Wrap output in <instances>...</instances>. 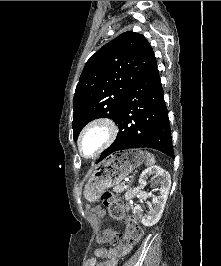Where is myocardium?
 Segmentation results:
<instances>
[{
    "label": "myocardium",
    "instance_id": "f54148a6",
    "mask_svg": "<svg viewBox=\"0 0 221 266\" xmlns=\"http://www.w3.org/2000/svg\"><path fill=\"white\" fill-rule=\"evenodd\" d=\"M101 128L105 131V137L99 147L90 155H87L83 151L84 138L93 130ZM118 133V127L116 123L107 117H99L90 121L81 131L77 139V150L79 155L86 160H91L102 153L115 139Z\"/></svg>",
    "mask_w": 221,
    "mask_h": 266
}]
</instances>
